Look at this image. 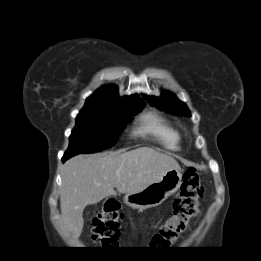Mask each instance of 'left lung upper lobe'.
I'll return each mask as SVG.
<instances>
[{"instance_id": "left-lung-upper-lobe-1", "label": "left lung upper lobe", "mask_w": 261, "mask_h": 261, "mask_svg": "<svg viewBox=\"0 0 261 261\" xmlns=\"http://www.w3.org/2000/svg\"><path fill=\"white\" fill-rule=\"evenodd\" d=\"M151 104L157 108L164 109L170 113L190 116V112L185 104L180 102L173 94L163 93L159 98L154 96H144Z\"/></svg>"}]
</instances>
